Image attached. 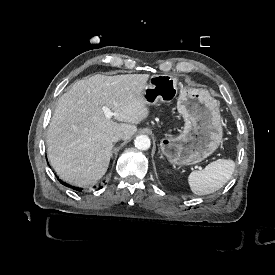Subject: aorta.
Wrapping results in <instances>:
<instances>
[{
	"label": "aorta",
	"mask_w": 275,
	"mask_h": 275,
	"mask_svg": "<svg viewBox=\"0 0 275 275\" xmlns=\"http://www.w3.org/2000/svg\"><path fill=\"white\" fill-rule=\"evenodd\" d=\"M134 145L139 150H148L151 145V141L147 135H139L134 140Z\"/></svg>",
	"instance_id": "762f6f07"
}]
</instances>
